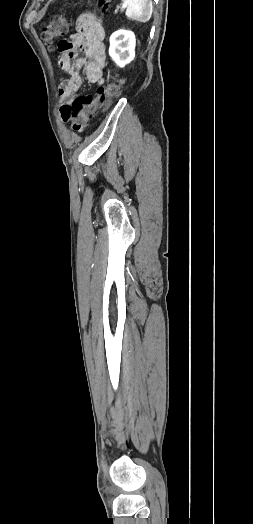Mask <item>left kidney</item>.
<instances>
[{"label":"left kidney","mask_w":253,"mask_h":524,"mask_svg":"<svg viewBox=\"0 0 253 524\" xmlns=\"http://www.w3.org/2000/svg\"><path fill=\"white\" fill-rule=\"evenodd\" d=\"M135 35L131 31L119 30L110 36L109 55L119 66L124 67L135 57Z\"/></svg>","instance_id":"1"}]
</instances>
